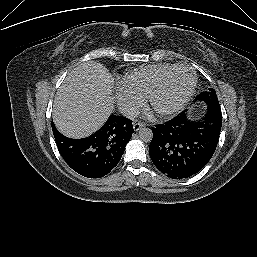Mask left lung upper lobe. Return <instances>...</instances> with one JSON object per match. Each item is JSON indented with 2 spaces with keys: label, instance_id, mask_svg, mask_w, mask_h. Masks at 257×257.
I'll list each match as a JSON object with an SVG mask.
<instances>
[{
  "label": "left lung upper lobe",
  "instance_id": "left-lung-upper-lobe-1",
  "mask_svg": "<svg viewBox=\"0 0 257 257\" xmlns=\"http://www.w3.org/2000/svg\"><path fill=\"white\" fill-rule=\"evenodd\" d=\"M196 101H201V102H204L206 104H213V105L220 106L217 95H216V92L213 88L197 95Z\"/></svg>",
  "mask_w": 257,
  "mask_h": 257
}]
</instances>
